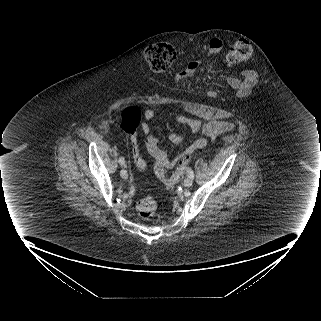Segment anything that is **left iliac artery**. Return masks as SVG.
I'll return each instance as SVG.
<instances>
[{"mask_svg": "<svg viewBox=\"0 0 321 321\" xmlns=\"http://www.w3.org/2000/svg\"><path fill=\"white\" fill-rule=\"evenodd\" d=\"M187 174H188V176L191 177L192 179L194 178V173H193V171H192L191 168H188Z\"/></svg>", "mask_w": 321, "mask_h": 321, "instance_id": "obj_1", "label": "left iliac artery"}]
</instances>
